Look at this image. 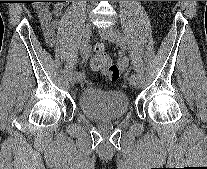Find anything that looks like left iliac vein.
I'll return each instance as SVG.
<instances>
[{
	"label": "left iliac vein",
	"instance_id": "left-iliac-vein-1",
	"mask_svg": "<svg viewBox=\"0 0 207 169\" xmlns=\"http://www.w3.org/2000/svg\"><path fill=\"white\" fill-rule=\"evenodd\" d=\"M98 33L104 39H106L112 43H115L116 45H118L120 47H124V45H125L123 35L116 28H114L112 26L107 27L105 29H101L98 31ZM129 84H130V86H132L134 88L140 87L138 77H136L134 79H129Z\"/></svg>",
	"mask_w": 207,
	"mask_h": 169
}]
</instances>
